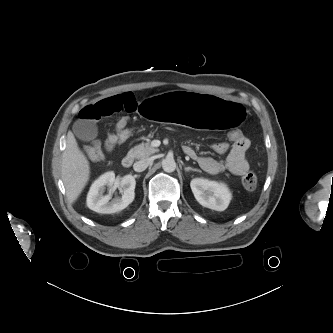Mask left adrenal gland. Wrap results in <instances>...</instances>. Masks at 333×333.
<instances>
[{
  "mask_svg": "<svg viewBox=\"0 0 333 333\" xmlns=\"http://www.w3.org/2000/svg\"><path fill=\"white\" fill-rule=\"evenodd\" d=\"M184 170H185V171H190V170H191V171H198L197 169H194V168H192V167H185Z\"/></svg>",
  "mask_w": 333,
  "mask_h": 333,
  "instance_id": "1",
  "label": "left adrenal gland"
}]
</instances>
